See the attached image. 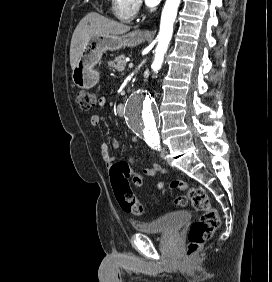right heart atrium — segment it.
Here are the masks:
<instances>
[{"mask_svg":"<svg viewBox=\"0 0 272 282\" xmlns=\"http://www.w3.org/2000/svg\"><path fill=\"white\" fill-rule=\"evenodd\" d=\"M133 1V8L136 9L138 6V2H136L137 0H131Z\"/></svg>","mask_w":272,"mask_h":282,"instance_id":"right-heart-atrium-1","label":"right heart atrium"}]
</instances>
